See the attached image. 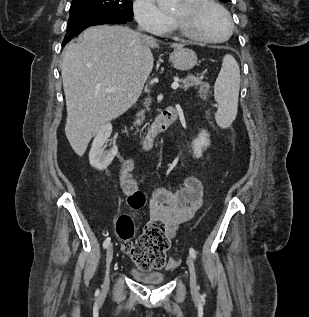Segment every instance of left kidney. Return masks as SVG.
<instances>
[{"instance_id": "obj_1", "label": "left kidney", "mask_w": 309, "mask_h": 317, "mask_svg": "<svg viewBox=\"0 0 309 317\" xmlns=\"http://www.w3.org/2000/svg\"><path fill=\"white\" fill-rule=\"evenodd\" d=\"M210 145L209 134L206 130H201L198 137L192 141V150L195 158H201L203 150Z\"/></svg>"}]
</instances>
